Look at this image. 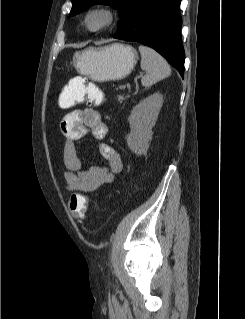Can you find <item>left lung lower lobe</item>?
<instances>
[{
	"instance_id": "obj_1",
	"label": "left lung lower lobe",
	"mask_w": 245,
	"mask_h": 319,
	"mask_svg": "<svg viewBox=\"0 0 245 319\" xmlns=\"http://www.w3.org/2000/svg\"><path fill=\"white\" fill-rule=\"evenodd\" d=\"M181 0H139L114 38L139 42L165 57L184 75V48L181 38Z\"/></svg>"
}]
</instances>
